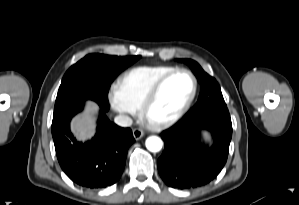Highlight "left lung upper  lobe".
I'll list each match as a JSON object with an SVG mask.
<instances>
[{"label":"left lung upper lobe","mask_w":299,"mask_h":205,"mask_svg":"<svg viewBox=\"0 0 299 205\" xmlns=\"http://www.w3.org/2000/svg\"><path fill=\"white\" fill-rule=\"evenodd\" d=\"M179 61L186 63L192 68L201 85L199 99L189 111L190 113H199L211 107L226 106L221 89L213 77L208 75L200 65L193 60L180 59Z\"/></svg>","instance_id":"5c2ea615"}]
</instances>
